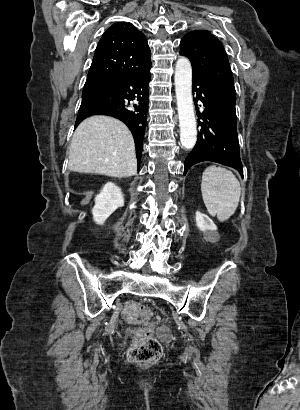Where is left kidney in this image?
<instances>
[{"label":"left kidney","mask_w":300,"mask_h":410,"mask_svg":"<svg viewBox=\"0 0 300 410\" xmlns=\"http://www.w3.org/2000/svg\"><path fill=\"white\" fill-rule=\"evenodd\" d=\"M196 225L202 231H216L217 226L206 214L196 212Z\"/></svg>","instance_id":"obj_1"}]
</instances>
